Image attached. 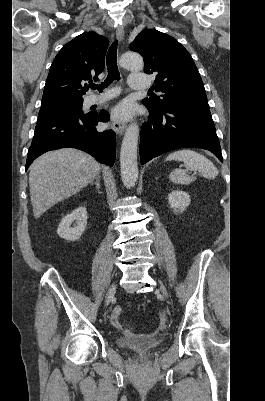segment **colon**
I'll use <instances>...</instances> for the list:
<instances>
[{
    "label": "colon",
    "instance_id": "obj_1",
    "mask_svg": "<svg viewBox=\"0 0 265 401\" xmlns=\"http://www.w3.org/2000/svg\"><path fill=\"white\" fill-rule=\"evenodd\" d=\"M123 310L121 307H116L114 308L112 315H111V320L114 324H118V319L121 316Z\"/></svg>",
    "mask_w": 265,
    "mask_h": 401
}]
</instances>
